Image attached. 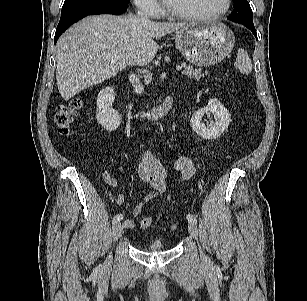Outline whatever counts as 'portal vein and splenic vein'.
<instances>
[{
	"label": "portal vein and splenic vein",
	"instance_id": "portal-vein-and-splenic-vein-1",
	"mask_svg": "<svg viewBox=\"0 0 307 301\" xmlns=\"http://www.w3.org/2000/svg\"><path fill=\"white\" fill-rule=\"evenodd\" d=\"M111 62H112V63H116L117 60H112ZM176 70H177V71L182 70V66H176ZM143 72H144V73H148V71H145V70H144Z\"/></svg>",
	"mask_w": 307,
	"mask_h": 301
}]
</instances>
